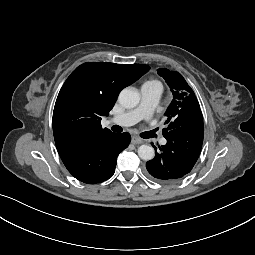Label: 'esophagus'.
Returning a JSON list of instances; mask_svg holds the SVG:
<instances>
[{
	"label": "esophagus",
	"mask_w": 255,
	"mask_h": 255,
	"mask_svg": "<svg viewBox=\"0 0 255 255\" xmlns=\"http://www.w3.org/2000/svg\"><path fill=\"white\" fill-rule=\"evenodd\" d=\"M131 142L133 144H141V143H143V140L137 136H132Z\"/></svg>",
	"instance_id": "1"
}]
</instances>
